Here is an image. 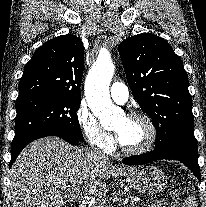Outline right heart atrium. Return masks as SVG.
I'll return each mask as SVG.
<instances>
[{
  "instance_id": "right-heart-atrium-1",
  "label": "right heart atrium",
  "mask_w": 206,
  "mask_h": 207,
  "mask_svg": "<svg viewBox=\"0 0 206 207\" xmlns=\"http://www.w3.org/2000/svg\"><path fill=\"white\" fill-rule=\"evenodd\" d=\"M78 127L86 140L95 148L110 152L114 148L112 135L106 131L85 102L76 110Z\"/></svg>"
}]
</instances>
